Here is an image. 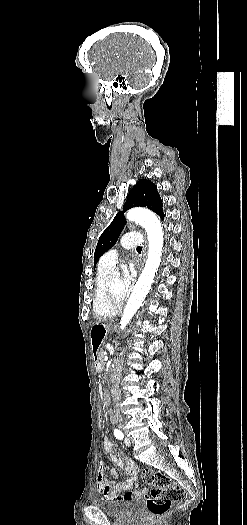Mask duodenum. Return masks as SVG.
Returning a JSON list of instances; mask_svg holds the SVG:
<instances>
[{"instance_id":"obj_1","label":"duodenum","mask_w":247,"mask_h":525,"mask_svg":"<svg viewBox=\"0 0 247 525\" xmlns=\"http://www.w3.org/2000/svg\"><path fill=\"white\" fill-rule=\"evenodd\" d=\"M95 370L97 372H100L102 370V364L98 360L95 361ZM99 395L102 399H106V395L102 388H99Z\"/></svg>"}]
</instances>
